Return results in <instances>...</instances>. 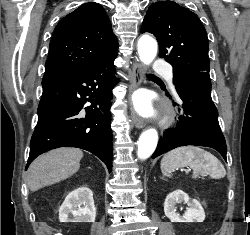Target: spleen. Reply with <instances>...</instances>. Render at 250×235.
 Wrapping results in <instances>:
<instances>
[{"mask_svg":"<svg viewBox=\"0 0 250 235\" xmlns=\"http://www.w3.org/2000/svg\"><path fill=\"white\" fill-rule=\"evenodd\" d=\"M186 166L193 169L194 178L201 173L214 179H220L226 175L223 164L214 155L198 147L176 148L165 154L161 160V171L167 177H171L175 169Z\"/></svg>","mask_w":250,"mask_h":235,"instance_id":"3e777b00","label":"spleen"}]
</instances>
